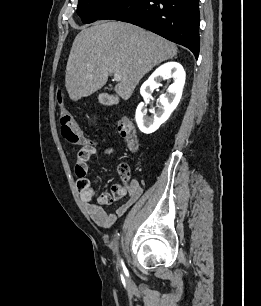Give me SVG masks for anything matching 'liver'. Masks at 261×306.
<instances>
[{"label":"liver","instance_id":"liver-1","mask_svg":"<svg viewBox=\"0 0 261 306\" xmlns=\"http://www.w3.org/2000/svg\"><path fill=\"white\" fill-rule=\"evenodd\" d=\"M177 46L138 26L99 22L76 36L66 66L65 86L77 101L100 90L109 74L121 80L115 92L128 100L139 81L153 67L177 55Z\"/></svg>","mask_w":261,"mask_h":306}]
</instances>
